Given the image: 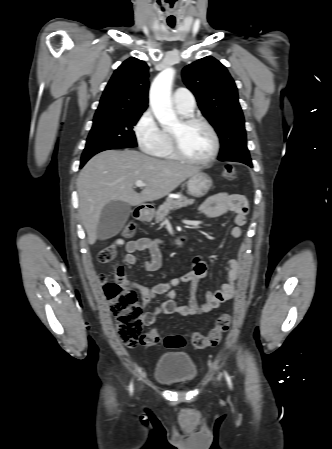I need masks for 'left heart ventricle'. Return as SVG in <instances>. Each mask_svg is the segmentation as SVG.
Returning a JSON list of instances; mask_svg holds the SVG:
<instances>
[{"instance_id":"left-heart-ventricle-1","label":"left heart ventricle","mask_w":332,"mask_h":449,"mask_svg":"<svg viewBox=\"0 0 332 449\" xmlns=\"http://www.w3.org/2000/svg\"><path fill=\"white\" fill-rule=\"evenodd\" d=\"M170 132L177 136L182 150L190 157L203 159L212 152V137L203 125L184 126L179 121Z\"/></svg>"}]
</instances>
